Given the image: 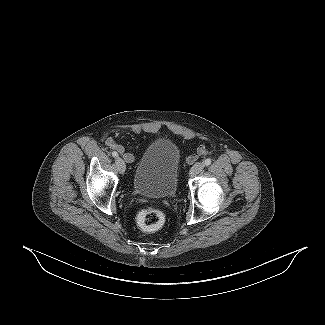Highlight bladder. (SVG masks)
<instances>
[{
	"label": "bladder",
	"mask_w": 325,
	"mask_h": 325,
	"mask_svg": "<svg viewBox=\"0 0 325 325\" xmlns=\"http://www.w3.org/2000/svg\"><path fill=\"white\" fill-rule=\"evenodd\" d=\"M181 154L176 143L157 139L144 151L133 176L134 190L153 198L171 197L176 193Z\"/></svg>",
	"instance_id": "obj_1"
}]
</instances>
